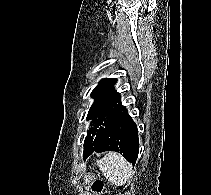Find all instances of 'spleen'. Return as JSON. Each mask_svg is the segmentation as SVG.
Here are the masks:
<instances>
[{
	"label": "spleen",
	"instance_id": "3e777b00",
	"mask_svg": "<svg viewBox=\"0 0 211 195\" xmlns=\"http://www.w3.org/2000/svg\"><path fill=\"white\" fill-rule=\"evenodd\" d=\"M103 175L113 184H125L133 174L132 165L120 154L110 152L97 161Z\"/></svg>",
	"mask_w": 211,
	"mask_h": 195
}]
</instances>
